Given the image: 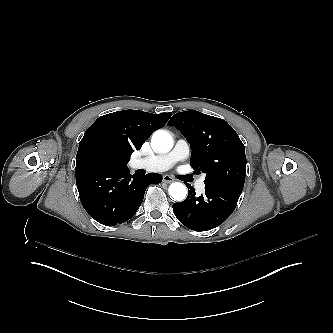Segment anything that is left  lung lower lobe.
Masks as SVG:
<instances>
[{
    "mask_svg": "<svg viewBox=\"0 0 333 333\" xmlns=\"http://www.w3.org/2000/svg\"><path fill=\"white\" fill-rule=\"evenodd\" d=\"M188 187L187 198L173 204L177 219L187 228L207 231L219 226L234 211L242 189L223 184H205V194L196 196L194 188Z\"/></svg>",
    "mask_w": 333,
    "mask_h": 333,
    "instance_id": "obj_1",
    "label": "left lung lower lobe"
}]
</instances>
